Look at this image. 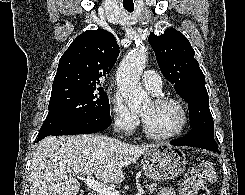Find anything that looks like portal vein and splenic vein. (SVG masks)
<instances>
[{"label":"portal vein and splenic vein","mask_w":245,"mask_h":195,"mask_svg":"<svg viewBox=\"0 0 245 195\" xmlns=\"http://www.w3.org/2000/svg\"><path fill=\"white\" fill-rule=\"evenodd\" d=\"M77 178L83 180L89 188L98 192L100 195H120L113 187L95 180L92 175H88L86 178L78 175ZM143 193L144 191H139L136 195H143Z\"/></svg>","instance_id":"obj_1"}]
</instances>
